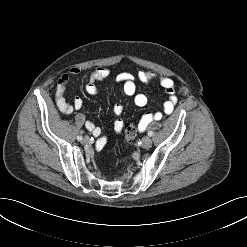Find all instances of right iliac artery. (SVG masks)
Wrapping results in <instances>:
<instances>
[{
    "label": "right iliac artery",
    "instance_id": "1",
    "mask_svg": "<svg viewBox=\"0 0 247 247\" xmlns=\"http://www.w3.org/2000/svg\"><path fill=\"white\" fill-rule=\"evenodd\" d=\"M77 140L81 141L82 140V136H77Z\"/></svg>",
    "mask_w": 247,
    "mask_h": 247
}]
</instances>
